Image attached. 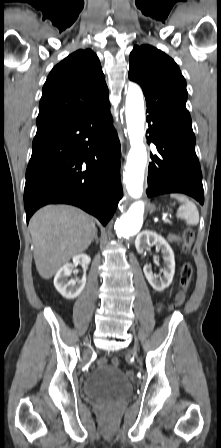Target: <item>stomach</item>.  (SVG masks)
<instances>
[{"mask_svg":"<svg viewBox=\"0 0 221 448\" xmlns=\"http://www.w3.org/2000/svg\"><path fill=\"white\" fill-rule=\"evenodd\" d=\"M154 210V207L153 206H151V211H153Z\"/></svg>","mask_w":221,"mask_h":448,"instance_id":"obj_1","label":"stomach"}]
</instances>
